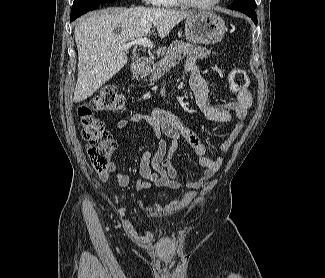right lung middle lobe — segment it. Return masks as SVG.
<instances>
[{"label": "right lung middle lobe", "mask_w": 325, "mask_h": 278, "mask_svg": "<svg viewBox=\"0 0 325 278\" xmlns=\"http://www.w3.org/2000/svg\"><path fill=\"white\" fill-rule=\"evenodd\" d=\"M94 1L105 3V2H110V1H114V0H94Z\"/></svg>", "instance_id": "dd1d6c3e"}]
</instances>
